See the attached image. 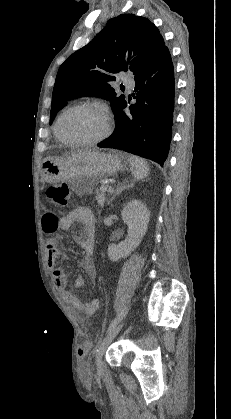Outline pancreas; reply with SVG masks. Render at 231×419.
Instances as JSON below:
<instances>
[{
    "label": "pancreas",
    "instance_id": "cf45deb5",
    "mask_svg": "<svg viewBox=\"0 0 231 419\" xmlns=\"http://www.w3.org/2000/svg\"><path fill=\"white\" fill-rule=\"evenodd\" d=\"M101 188L96 191V200H97L98 205L102 208L106 200V193H105L106 191L101 190Z\"/></svg>",
    "mask_w": 231,
    "mask_h": 419
}]
</instances>
